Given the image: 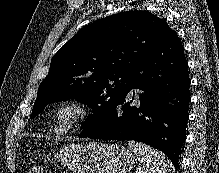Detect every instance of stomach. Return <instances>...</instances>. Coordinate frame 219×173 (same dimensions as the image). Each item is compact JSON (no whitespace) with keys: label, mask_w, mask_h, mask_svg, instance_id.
Here are the masks:
<instances>
[{"label":"stomach","mask_w":219,"mask_h":173,"mask_svg":"<svg viewBox=\"0 0 219 173\" xmlns=\"http://www.w3.org/2000/svg\"><path fill=\"white\" fill-rule=\"evenodd\" d=\"M54 157L73 173H128L134 164L129 149L118 144H70Z\"/></svg>","instance_id":"1"}]
</instances>
